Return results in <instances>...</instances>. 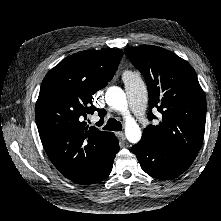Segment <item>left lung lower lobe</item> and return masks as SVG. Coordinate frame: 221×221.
Listing matches in <instances>:
<instances>
[{"label": "left lung lower lobe", "instance_id": "obj_1", "mask_svg": "<svg viewBox=\"0 0 221 221\" xmlns=\"http://www.w3.org/2000/svg\"><path fill=\"white\" fill-rule=\"evenodd\" d=\"M142 169L158 179H172L185 172L195 158L161 144H136L132 146Z\"/></svg>", "mask_w": 221, "mask_h": 221}]
</instances>
